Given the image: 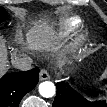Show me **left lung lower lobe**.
<instances>
[{
  "instance_id": "obj_1",
  "label": "left lung lower lobe",
  "mask_w": 107,
  "mask_h": 107,
  "mask_svg": "<svg viewBox=\"0 0 107 107\" xmlns=\"http://www.w3.org/2000/svg\"><path fill=\"white\" fill-rule=\"evenodd\" d=\"M57 93L53 107H107V101L91 102L78 94L71 86L57 83Z\"/></svg>"
}]
</instances>
